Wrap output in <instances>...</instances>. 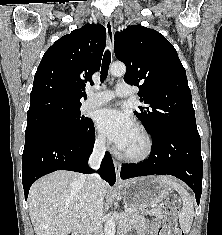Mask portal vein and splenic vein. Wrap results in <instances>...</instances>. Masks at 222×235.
<instances>
[{"mask_svg":"<svg viewBox=\"0 0 222 235\" xmlns=\"http://www.w3.org/2000/svg\"><path fill=\"white\" fill-rule=\"evenodd\" d=\"M125 211H126V212H132V211H133V209L128 208V207H125ZM151 211H152V210H151ZM151 211H146V212H151Z\"/></svg>","mask_w":222,"mask_h":235,"instance_id":"18ae733b","label":"portal vein and splenic vein"}]
</instances>
